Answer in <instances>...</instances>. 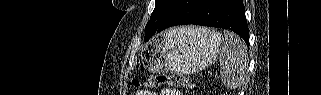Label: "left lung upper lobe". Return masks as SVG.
Wrapping results in <instances>:
<instances>
[{"label": "left lung upper lobe", "mask_w": 321, "mask_h": 95, "mask_svg": "<svg viewBox=\"0 0 321 95\" xmlns=\"http://www.w3.org/2000/svg\"><path fill=\"white\" fill-rule=\"evenodd\" d=\"M175 1L176 0H156L155 9L151 14L150 21L145 27L144 40L150 39L152 35L155 34L159 25L162 23Z\"/></svg>", "instance_id": "left-lung-upper-lobe-1"}]
</instances>
